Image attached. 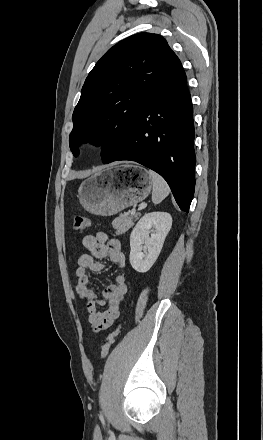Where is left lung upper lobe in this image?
Listing matches in <instances>:
<instances>
[{"label":"left lung upper lobe","instance_id":"1","mask_svg":"<svg viewBox=\"0 0 263 440\" xmlns=\"http://www.w3.org/2000/svg\"><path fill=\"white\" fill-rule=\"evenodd\" d=\"M175 53L158 34L132 35L96 63L74 109L69 144L74 156L85 142L102 146L106 164L123 153L134 122L165 74Z\"/></svg>","mask_w":263,"mask_h":440}]
</instances>
